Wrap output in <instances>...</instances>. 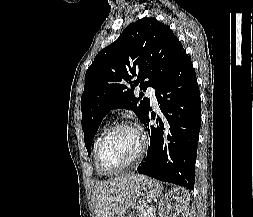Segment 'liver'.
I'll return each instance as SVG.
<instances>
[{
  "instance_id": "1",
  "label": "liver",
  "mask_w": 253,
  "mask_h": 217,
  "mask_svg": "<svg viewBox=\"0 0 253 217\" xmlns=\"http://www.w3.org/2000/svg\"><path fill=\"white\" fill-rule=\"evenodd\" d=\"M143 178L139 174H126L97 182L92 192L95 217H119L129 204L137 182Z\"/></svg>"
}]
</instances>
